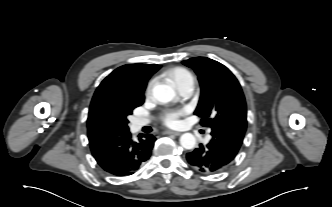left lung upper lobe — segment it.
Wrapping results in <instances>:
<instances>
[{
  "label": "left lung upper lobe",
  "instance_id": "1",
  "mask_svg": "<svg viewBox=\"0 0 332 207\" xmlns=\"http://www.w3.org/2000/svg\"><path fill=\"white\" fill-rule=\"evenodd\" d=\"M183 64L193 68L198 75L201 96L194 114L201 117V125L245 133L246 102L232 72L206 57L191 58Z\"/></svg>",
  "mask_w": 332,
  "mask_h": 207
}]
</instances>
